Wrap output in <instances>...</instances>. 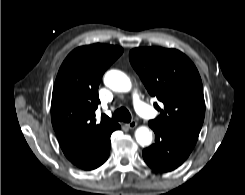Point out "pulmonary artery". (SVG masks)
Masks as SVG:
<instances>
[{"label": "pulmonary artery", "mask_w": 245, "mask_h": 195, "mask_svg": "<svg viewBox=\"0 0 245 195\" xmlns=\"http://www.w3.org/2000/svg\"><path fill=\"white\" fill-rule=\"evenodd\" d=\"M134 107L139 115L146 119H153L155 117V111L145 104L138 96L136 92L133 93Z\"/></svg>", "instance_id": "pulmonary-artery-1"}]
</instances>
